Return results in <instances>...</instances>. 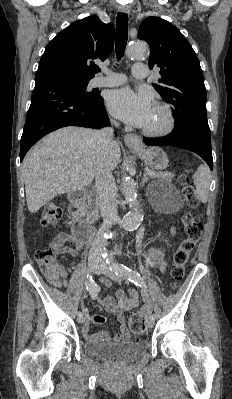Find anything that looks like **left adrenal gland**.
<instances>
[{
  "mask_svg": "<svg viewBox=\"0 0 232 399\" xmlns=\"http://www.w3.org/2000/svg\"><path fill=\"white\" fill-rule=\"evenodd\" d=\"M145 182H146V178H142V180H141V182H140L141 188H143Z\"/></svg>",
  "mask_w": 232,
  "mask_h": 399,
  "instance_id": "a2214340",
  "label": "left adrenal gland"
}]
</instances>
